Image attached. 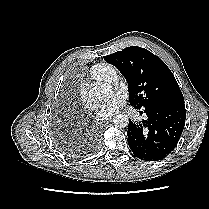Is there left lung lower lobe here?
I'll return each mask as SVG.
<instances>
[{
  "label": "left lung lower lobe",
  "mask_w": 209,
  "mask_h": 209,
  "mask_svg": "<svg viewBox=\"0 0 209 209\" xmlns=\"http://www.w3.org/2000/svg\"><path fill=\"white\" fill-rule=\"evenodd\" d=\"M147 115L143 123L129 120L128 144L135 157L159 161L176 147L182 134L186 111L183 107L155 106L139 109Z\"/></svg>",
  "instance_id": "0a47b994"
}]
</instances>
